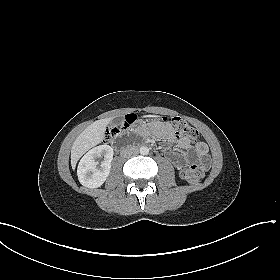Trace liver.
I'll use <instances>...</instances> for the list:
<instances>
[{
	"label": "liver",
	"mask_w": 280,
	"mask_h": 280,
	"mask_svg": "<svg viewBox=\"0 0 280 280\" xmlns=\"http://www.w3.org/2000/svg\"><path fill=\"white\" fill-rule=\"evenodd\" d=\"M112 119L113 117L97 120L78 135L71 148V166L73 169L84 153L104 139L106 126Z\"/></svg>",
	"instance_id": "liver-1"
}]
</instances>
